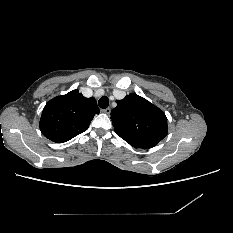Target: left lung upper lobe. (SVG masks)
Wrapping results in <instances>:
<instances>
[{"mask_svg":"<svg viewBox=\"0 0 233 233\" xmlns=\"http://www.w3.org/2000/svg\"><path fill=\"white\" fill-rule=\"evenodd\" d=\"M111 111L116 134L134 148L154 147L168 133L165 113L149 101L131 93Z\"/></svg>","mask_w":233,"mask_h":233,"instance_id":"5c2ea615","label":"left lung upper lobe"}]
</instances>
